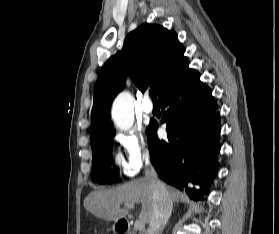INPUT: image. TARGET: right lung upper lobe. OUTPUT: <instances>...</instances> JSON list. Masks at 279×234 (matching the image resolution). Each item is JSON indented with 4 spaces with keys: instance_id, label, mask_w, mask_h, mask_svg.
I'll use <instances>...</instances> for the list:
<instances>
[{
    "instance_id": "cb5924a9",
    "label": "right lung upper lobe",
    "mask_w": 279,
    "mask_h": 234,
    "mask_svg": "<svg viewBox=\"0 0 279 234\" xmlns=\"http://www.w3.org/2000/svg\"><path fill=\"white\" fill-rule=\"evenodd\" d=\"M185 48L174 31L144 23L129 33L122 51L102 68L94 90L91 145L112 133L110 104L123 90L127 73L142 92L154 86L160 97L189 68Z\"/></svg>"
}]
</instances>
